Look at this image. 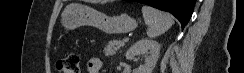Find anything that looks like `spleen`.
I'll return each mask as SVG.
<instances>
[{
    "instance_id": "1",
    "label": "spleen",
    "mask_w": 244,
    "mask_h": 73,
    "mask_svg": "<svg viewBox=\"0 0 244 73\" xmlns=\"http://www.w3.org/2000/svg\"><path fill=\"white\" fill-rule=\"evenodd\" d=\"M143 18L148 25L147 36L155 38L165 33L174 24L173 17L153 7H142Z\"/></svg>"
}]
</instances>
